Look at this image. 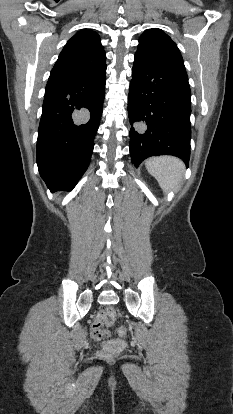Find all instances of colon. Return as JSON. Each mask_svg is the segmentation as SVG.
<instances>
[{"label": "colon", "mask_w": 233, "mask_h": 414, "mask_svg": "<svg viewBox=\"0 0 233 414\" xmlns=\"http://www.w3.org/2000/svg\"><path fill=\"white\" fill-rule=\"evenodd\" d=\"M115 318V311L112 308H107L105 310H101L97 313L95 320L91 324V337L94 340H101L103 338H107L109 333L102 329L103 325H111L114 322ZM127 333V329L125 326H119L116 329V335L119 337H124ZM100 355L103 357H108L109 354L107 352L101 351Z\"/></svg>", "instance_id": "obj_1"}]
</instances>
